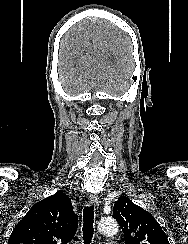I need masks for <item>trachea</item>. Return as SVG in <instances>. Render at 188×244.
Segmentation results:
<instances>
[{"label": "trachea", "mask_w": 188, "mask_h": 244, "mask_svg": "<svg viewBox=\"0 0 188 244\" xmlns=\"http://www.w3.org/2000/svg\"><path fill=\"white\" fill-rule=\"evenodd\" d=\"M94 206H86L83 209V240L84 244H90L94 234Z\"/></svg>", "instance_id": "1"}]
</instances>
